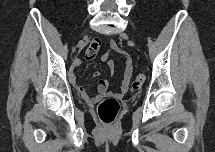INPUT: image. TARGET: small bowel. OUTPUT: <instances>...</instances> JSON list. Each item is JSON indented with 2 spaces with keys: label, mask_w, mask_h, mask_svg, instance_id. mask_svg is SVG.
Here are the masks:
<instances>
[{
  "label": "small bowel",
  "mask_w": 215,
  "mask_h": 152,
  "mask_svg": "<svg viewBox=\"0 0 215 152\" xmlns=\"http://www.w3.org/2000/svg\"><path fill=\"white\" fill-rule=\"evenodd\" d=\"M110 46H111V52L116 53V54L120 55L121 57H123L124 62H125V70H124V74H123V77L121 80L120 92H118L116 94L117 97H123L128 90V86H129V82H130V78H131V74H132L133 59L127 51L123 50L122 48H120L118 46V44L116 43L115 40L110 41ZM102 59L107 61L108 65L110 67H114V61L112 59H110L109 53H104L102 55ZM76 64H79V61H77ZM92 75L94 77H98L99 72L94 71ZM71 80L75 84V87H76L77 91L79 92V94L89 103H95L100 98H102L103 96H105L107 94V89H108L109 83L105 79H101L98 81V84H97L98 94L96 96L89 95L87 93L86 89L82 85H79L76 83L74 73H71Z\"/></svg>",
  "instance_id": "small-bowel-1"
}]
</instances>
